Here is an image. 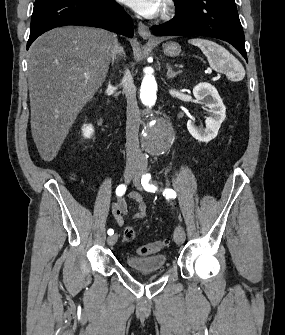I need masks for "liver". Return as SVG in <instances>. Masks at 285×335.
Segmentation results:
<instances>
[{
  "mask_svg": "<svg viewBox=\"0 0 285 335\" xmlns=\"http://www.w3.org/2000/svg\"><path fill=\"white\" fill-rule=\"evenodd\" d=\"M115 44V34L107 30L67 26L30 46L31 132L45 162L56 158L78 114L105 82Z\"/></svg>",
  "mask_w": 285,
  "mask_h": 335,
  "instance_id": "obj_1",
  "label": "liver"
}]
</instances>
